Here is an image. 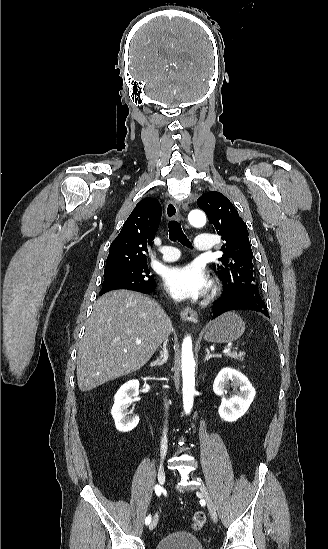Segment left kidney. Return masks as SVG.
Returning a JSON list of instances; mask_svg holds the SVG:
<instances>
[{
	"label": "left kidney",
	"instance_id": "5707ae66",
	"mask_svg": "<svg viewBox=\"0 0 328 549\" xmlns=\"http://www.w3.org/2000/svg\"><path fill=\"white\" fill-rule=\"evenodd\" d=\"M230 381L233 387H239V391L231 399H225L226 387ZM213 391L215 395L222 397L218 413L223 421H237L239 417H243L256 395V391L247 377L242 375L240 371L230 369V367H225V369L219 371L213 383Z\"/></svg>",
	"mask_w": 328,
	"mask_h": 549
}]
</instances>
